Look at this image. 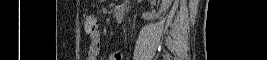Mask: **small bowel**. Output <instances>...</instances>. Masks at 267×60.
Segmentation results:
<instances>
[{"mask_svg": "<svg viewBox=\"0 0 267 60\" xmlns=\"http://www.w3.org/2000/svg\"><path fill=\"white\" fill-rule=\"evenodd\" d=\"M100 41H101V35L99 31L90 35V41H89L88 49H87V60H96L98 58V54L100 51ZM107 59L108 60H122L123 55L121 52L117 51V52L111 53Z\"/></svg>", "mask_w": 267, "mask_h": 60, "instance_id": "c3829d8e", "label": "small bowel"}]
</instances>
